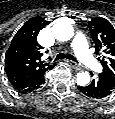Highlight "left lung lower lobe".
I'll use <instances>...</instances> for the list:
<instances>
[{"label": "left lung lower lobe", "instance_id": "1", "mask_svg": "<svg viewBox=\"0 0 115 119\" xmlns=\"http://www.w3.org/2000/svg\"><path fill=\"white\" fill-rule=\"evenodd\" d=\"M80 92L89 98L102 99L115 92V80L106 74L100 73L90 85L78 87Z\"/></svg>", "mask_w": 115, "mask_h": 119}]
</instances>
